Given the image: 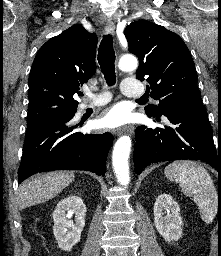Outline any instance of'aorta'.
<instances>
[{"instance_id": "762f6f07", "label": "aorta", "mask_w": 221, "mask_h": 256, "mask_svg": "<svg viewBox=\"0 0 221 256\" xmlns=\"http://www.w3.org/2000/svg\"><path fill=\"white\" fill-rule=\"evenodd\" d=\"M138 62L132 56L122 57L118 67L122 71H130L137 68ZM131 151V138L127 135L120 137L113 149L112 164L116 174L117 181L121 185H127L130 182L128 159Z\"/></svg>"}]
</instances>
